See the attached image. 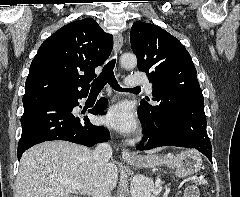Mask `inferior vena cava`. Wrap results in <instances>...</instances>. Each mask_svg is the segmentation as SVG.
I'll use <instances>...</instances> for the list:
<instances>
[{"label":"inferior vena cava","instance_id":"1","mask_svg":"<svg viewBox=\"0 0 240 197\" xmlns=\"http://www.w3.org/2000/svg\"><path fill=\"white\" fill-rule=\"evenodd\" d=\"M112 156V147L109 143H100L93 151V158L101 167L105 166ZM92 197H111L110 190L106 185L99 183L93 192Z\"/></svg>","mask_w":240,"mask_h":197}]
</instances>
